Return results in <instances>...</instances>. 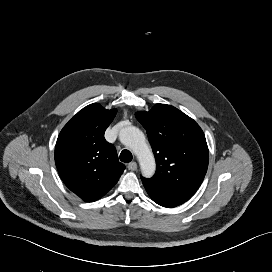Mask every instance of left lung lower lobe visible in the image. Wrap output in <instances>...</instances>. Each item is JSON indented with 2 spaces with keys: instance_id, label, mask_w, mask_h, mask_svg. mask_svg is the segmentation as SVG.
<instances>
[{
  "instance_id": "obj_1",
  "label": "left lung lower lobe",
  "mask_w": 272,
  "mask_h": 272,
  "mask_svg": "<svg viewBox=\"0 0 272 272\" xmlns=\"http://www.w3.org/2000/svg\"><path fill=\"white\" fill-rule=\"evenodd\" d=\"M142 181L147 193L152 198V200L163 207H176L186 202L193 196L178 189L157 186L145 180Z\"/></svg>"
}]
</instances>
